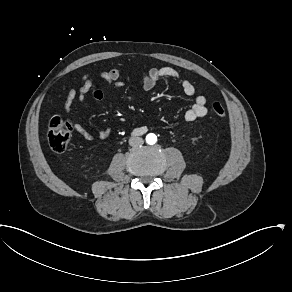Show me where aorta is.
Segmentation results:
<instances>
[{
    "label": "aorta",
    "mask_w": 292,
    "mask_h": 292,
    "mask_svg": "<svg viewBox=\"0 0 292 292\" xmlns=\"http://www.w3.org/2000/svg\"><path fill=\"white\" fill-rule=\"evenodd\" d=\"M146 141L148 144L153 145L157 141V136L155 134H148L146 137Z\"/></svg>",
    "instance_id": "762f6f07"
}]
</instances>
